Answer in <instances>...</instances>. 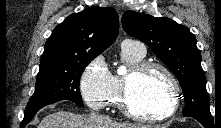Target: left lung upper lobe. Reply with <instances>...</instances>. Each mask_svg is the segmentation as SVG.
<instances>
[{
	"instance_id": "5c2ea615",
	"label": "left lung upper lobe",
	"mask_w": 221,
	"mask_h": 128,
	"mask_svg": "<svg viewBox=\"0 0 221 128\" xmlns=\"http://www.w3.org/2000/svg\"><path fill=\"white\" fill-rule=\"evenodd\" d=\"M122 26L127 34L146 43L175 74L185 99L183 116L212 117L201 54L190 30L170 18L135 11L123 14Z\"/></svg>"
}]
</instances>
